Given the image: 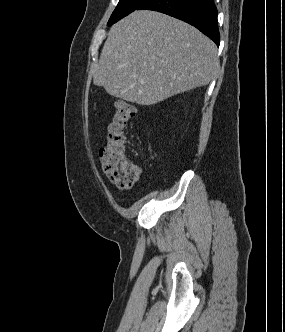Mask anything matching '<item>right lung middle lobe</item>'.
I'll return each instance as SVG.
<instances>
[{"label":"right lung middle lobe","mask_w":285,"mask_h":332,"mask_svg":"<svg viewBox=\"0 0 285 332\" xmlns=\"http://www.w3.org/2000/svg\"><path fill=\"white\" fill-rule=\"evenodd\" d=\"M146 1L147 0H120L108 21V26H111L121 18L127 16Z\"/></svg>","instance_id":"right-lung-middle-lobe-1"}]
</instances>
